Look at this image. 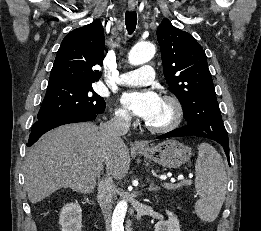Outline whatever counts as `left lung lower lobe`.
<instances>
[{"label":"left lung lower lobe","instance_id":"left-lung-lower-lobe-1","mask_svg":"<svg viewBox=\"0 0 261 231\" xmlns=\"http://www.w3.org/2000/svg\"><path fill=\"white\" fill-rule=\"evenodd\" d=\"M183 136H198V137L209 138V137H207V135L203 134L202 132H200L197 129L190 127V126H184L181 128H177L166 134L158 136L157 138L161 139V138L183 137ZM209 139H212V140L220 143L224 147L227 159L229 160V141H228V139L227 138L220 139L218 137H213V138H209Z\"/></svg>","mask_w":261,"mask_h":231}]
</instances>
